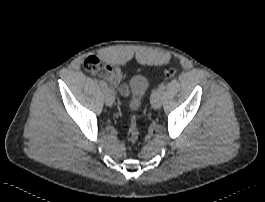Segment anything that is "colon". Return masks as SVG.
<instances>
[{"label": "colon", "mask_w": 265, "mask_h": 202, "mask_svg": "<svg viewBox=\"0 0 265 202\" xmlns=\"http://www.w3.org/2000/svg\"><path fill=\"white\" fill-rule=\"evenodd\" d=\"M175 76V71L174 70H168L166 72V77L167 78H173ZM139 138V130L137 127L136 122L133 120L131 122V125L128 130V139L132 142L135 143Z\"/></svg>", "instance_id": "5ec220e1"}]
</instances>
